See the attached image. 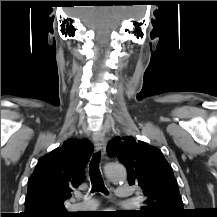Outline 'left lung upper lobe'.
I'll use <instances>...</instances> for the list:
<instances>
[{"label":"left lung upper lobe","mask_w":217,"mask_h":217,"mask_svg":"<svg viewBox=\"0 0 217 217\" xmlns=\"http://www.w3.org/2000/svg\"><path fill=\"white\" fill-rule=\"evenodd\" d=\"M107 152L126 166L129 184L143 189L146 200L141 216L181 217L184 214L173 171L158 148L125 136L113 138Z\"/></svg>","instance_id":"left-lung-upper-lobe-1"}]
</instances>
